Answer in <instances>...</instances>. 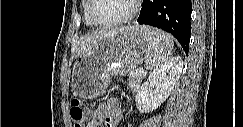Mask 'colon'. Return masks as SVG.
Listing matches in <instances>:
<instances>
[{
    "mask_svg": "<svg viewBox=\"0 0 243 127\" xmlns=\"http://www.w3.org/2000/svg\"><path fill=\"white\" fill-rule=\"evenodd\" d=\"M86 115L87 112L83 103L78 99H74L70 106V116L73 122V126L84 127L86 122Z\"/></svg>",
    "mask_w": 243,
    "mask_h": 127,
    "instance_id": "5ec220e1",
    "label": "colon"
}]
</instances>
